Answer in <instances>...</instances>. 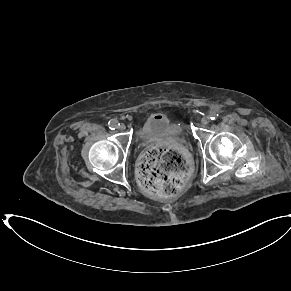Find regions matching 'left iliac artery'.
Returning <instances> with one entry per match:
<instances>
[{
    "mask_svg": "<svg viewBox=\"0 0 291 291\" xmlns=\"http://www.w3.org/2000/svg\"><path fill=\"white\" fill-rule=\"evenodd\" d=\"M219 116V112L218 111H214L210 114V119L211 120H216L217 117Z\"/></svg>",
    "mask_w": 291,
    "mask_h": 291,
    "instance_id": "obj_1",
    "label": "left iliac artery"
}]
</instances>
